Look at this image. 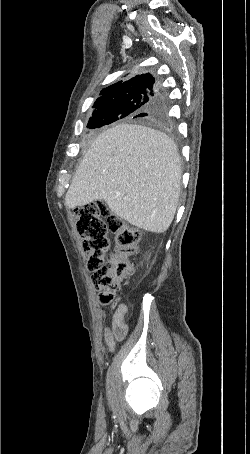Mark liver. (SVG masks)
I'll return each mask as SVG.
<instances>
[{
	"label": "liver",
	"mask_w": 250,
	"mask_h": 454,
	"mask_svg": "<svg viewBox=\"0 0 250 454\" xmlns=\"http://www.w3.org/2000/svg\"><path fill=\"white\" fill-rule=\"evenodd\" d=\"M181 179L177 147L166 134L121 124L94 140L77 167L65 203L75 208L103 200L130 224L163 233L174 219Z\"/></svg>",
	"instance_id": "obj_1"
}]
</instances>
